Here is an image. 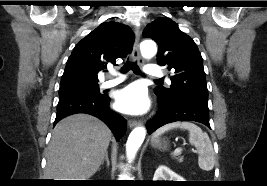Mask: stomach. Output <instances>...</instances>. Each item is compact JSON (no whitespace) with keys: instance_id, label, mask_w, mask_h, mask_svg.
Segmentation results:
<instances>
[{"instance_id":"obj_1","label":"stomach","mask_w":267,"mask_h":186,"mask_svg":"<svg viewBox=\"0 0 267 186\" xmlns=\"http://www.w3.org/2000/svg\"><path fill=\"white\" fill-rule=\"evenodd\" d=\"M153 147H158V148H166L167 145L165 143V141H161L160 139H156V140H152L151 142Z\"/></svg>"}]
</instances>
